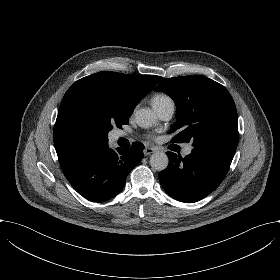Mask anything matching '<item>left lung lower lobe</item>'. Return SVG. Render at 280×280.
Returning <instances> with one entry per match:
<instances>
[{"label": "left lung lower lobe", "instance_id": "obj_1", "mask_svg": "<svg viewBox=\"0 0 280 280\" xmlns=\"http://www.w3.org/2000/svg\"><path fill=\"white\" fill-rule=\"evenodd\" d=\"M235 152L215 148H194L181 158L172 152L168 167L159 173V180L168 195L192 203L205 198L223 181Z\"/></svg>", "mask_w": 280, "mask_h": 280}]
</instances>
